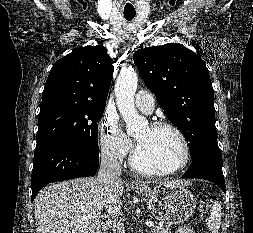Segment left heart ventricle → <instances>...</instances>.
I'll return each mask as SVG.
<instances>
[{
	"mask_svg": "<svg viewBox=\"0 0 253 233\" xmlns=\"http://www.w3.org/2000/svg\"><path fill=\"white\" fill-rule=\"evenodd\" d=\"M135 139L138 161L146 168L168 170L182 160V145L172 131L147 126L135 134Z\"/></svg>",
	"mask_w": 253,
	"mask_h": 233,
	"instance_id": "b2bd125f",
	"label": "left heart ventricle"
}]
</instances>
